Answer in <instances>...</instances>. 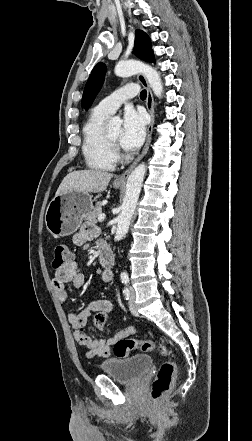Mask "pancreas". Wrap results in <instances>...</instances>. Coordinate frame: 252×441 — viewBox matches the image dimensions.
<instances>
[{"mask_svg":"<svg viewBox=\"0 0 252 441\" xmlns=\"http://www.w3.org/2000/svg\"><path fill=\"white\" fill-rule=\"evenodd\" d=\"M101 213H102V204L98 202L96 206L92 209V211L86 215L85 219L87 221L97 223V218Z\"/></svg>","mask_w":252,"mask_h":441,"instance_id":"pancreas-1","label":"pancreas"}]
</instances>
